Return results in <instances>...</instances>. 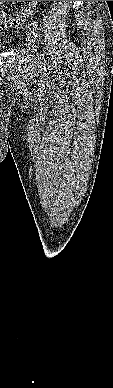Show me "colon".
Returning <instances> with one entry per match:
<instances>
[{
	"mask_svg": "<svg viewBox=\"0 0 113 388\" xmlns=\"http://www.w3.org/2000/svg\"><path fill=\"white\" fill-rule=\"evenodd\" d=\"M40 1H30L29 5L22 9L18 14H1L0 15V27L1 28H11L23 24L26 19L32 15Z\"/></svg>",
	"mask_w": 113,
	"mask_h": 388,
	"instance_id": "1",
	"label": "colon"
}]
</instances>
